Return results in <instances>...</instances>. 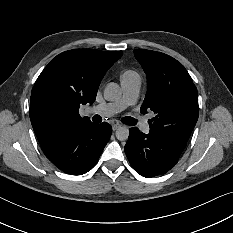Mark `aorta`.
Returning a JSON list of instances; mask_svg holds the SVG:
<instances>
[{
    "mask_svg": "<svg viewBox=\"0 0 233 233\" xmlns=\"http://www.w3.org/2000/svg\"><path fill=\"white\" fill-rule=\"evenodd\" d=\"M122 95L121 88L118 84L111 82L108 83L104 90V98L107 101H116ZM116 138L120 141H125L129 137V128L127 126H121L116 130Z\"/></svg>",
    "mask_w": 233,
    "mask_h": 233,
    "instance_id": "aorta-1",
    "label": "aorta"
}]
</instances>
